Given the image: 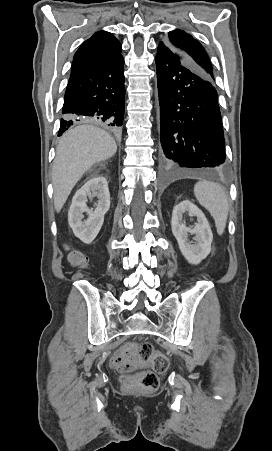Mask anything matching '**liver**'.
<instances>
[{
  "label": "liver",
  "instance_id": "liver-1",
  "mask_svg": "<svg viewBox=\"0 0 272 451\" xmlns=\"http://www.w3.org/2000/svg\"><path fill=\"white\" fill-rule=\"evenodd\" d=\"M114 138L92 124H82L63 134L52 168L54 208L62 210L71 190L96 162L109 160L116 154Z\"/></svg>",
  "mask_w": 272,
  "mask_h": 451
}]
</instances>
